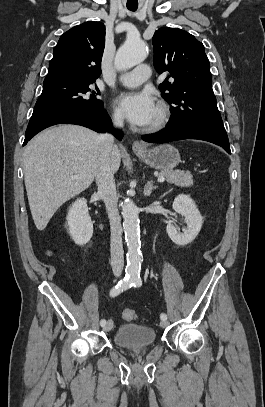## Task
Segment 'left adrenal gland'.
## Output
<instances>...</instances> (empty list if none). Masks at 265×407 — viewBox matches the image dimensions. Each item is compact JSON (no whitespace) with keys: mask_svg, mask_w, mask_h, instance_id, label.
<instances>
[{"mask_svg":"<svg viewBox=\"0 0 265 407\" xmlns=\"http://www.w3.org/2000/svg\"><path fill=\"white\" fill-rule=\"evenodd\" d=\"M156 188H157V186L153 185L152 180L148 181L144 187V195L149 196L152 193V190H155Z\"/></svg>","mask_w":265,"mask_h":407,"instance_id":"a2214340","label":"left adrenal gland"}]
</instances>
